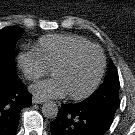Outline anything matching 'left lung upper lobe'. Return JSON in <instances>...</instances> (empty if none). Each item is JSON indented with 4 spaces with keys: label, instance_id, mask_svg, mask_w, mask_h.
<instances>
[{
    "label": "left lung upper lobe",
    "instance_id": "5c2ea615",
    "mask_svg": "<svg viewBox=\"0 0 135 135\" xmlns=\"http://www.w3.org/2000/svg\"><path fill=\"white\" fill-rule=\"evenodd\" d=\"M119 91V77L118 72L113 63H110L108 74L102 85L91 95V97H103L110 92L118 95Z\"/></svg>",
    "mask_w": 135,
    "mask_h": 135
}]
</instances>
